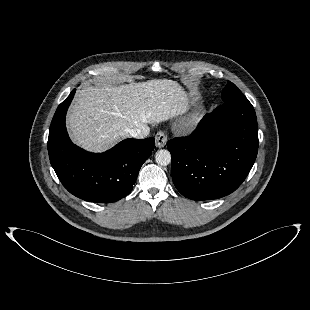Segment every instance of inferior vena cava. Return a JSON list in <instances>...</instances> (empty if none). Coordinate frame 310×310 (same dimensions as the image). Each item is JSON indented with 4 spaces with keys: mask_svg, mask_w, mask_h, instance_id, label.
I'll use <instances>...</instances> for the list:
<instances>
[{
    "mask_svg": "<svg viewBox=\"0 0 310 310\" xmlns=\"http://www.w3.org/2000/svg\"><path fill=\"white\" fill-rule=\"evenodd\" d=\"M126 133L128 136L133 138L142 139L148 135V131H142L140 128L127 129Z\"/></svg>",
    "mask_w": 310,
    "mask_h": 310,
    "instance_id": "obj_1",
    "label": "inferior vena cava"
}]
</instances>
